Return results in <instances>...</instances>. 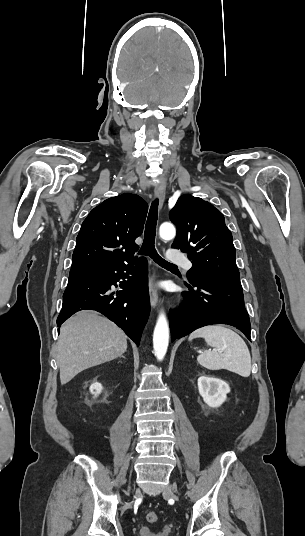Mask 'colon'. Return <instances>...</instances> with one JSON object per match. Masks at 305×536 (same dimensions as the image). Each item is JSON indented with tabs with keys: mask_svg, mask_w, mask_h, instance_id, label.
Instances as JSON below:
<instances>
[{
	"mask_svg": "<svg viewBox=\"0 0 305 536\" xmlns=\"http://www.w3.org/2000/svg\"><path fill=\"white\" fill-rule=\"evenodd\" d=\"M146 519L149 523H155L158 521V515L155 512H150L147 514Z\"/></svg>",
	"mask_w": 305,
	"mask_h": 536,
	"instance_id": "5ec220e1",
	"label": "colon"
}]
</instances>
